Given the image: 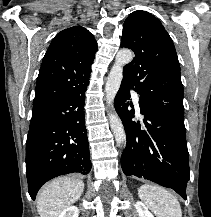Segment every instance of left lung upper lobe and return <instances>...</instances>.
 I'll return each instance as SVG.
<instances>
[{
  "mask_svg": "<svg viewBox=\"0 0 211 217\" xmlns=\"http://www.w3.org/2000/svg\"><path fill=\"white\" fill-rule=\"evenodd\" d=\"M121 47L135 53L124 66L123 80L135 87L140 101L175 121L184 123L183 85L173 41L152 14L137 10L124 22Z\"/></svg>",
  "mask_w": 211,
  "mask_h": 217,
  "instance_id": "5c2ea615",
  "label": "left lung upper lobe"
}]
</instances>
